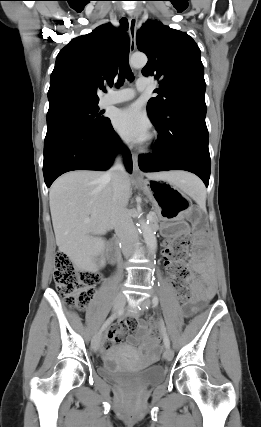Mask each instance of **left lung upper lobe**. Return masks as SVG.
I'll return each mask as SVG.
<instances>
[{"instance_id":"left-lung-upper-lobe-1","label":"left lung upper lobe","mask_w":261,"mask_h":427,"mask_svg":"<svg viewBox=\"0 0 261 427\" xmlns=\"http://www.w3.org/2000/svg\"><path fill=\"white\" fill-rule=\"evenodd\" d=\"M137 47L148 56L143 75H155L160 84L155 90L159 96L147 104L151 119L165 118L169 110L181 103L206 106L200 49L187 33L149 21L137 34Z\"/></svg>"}]
</instances>
